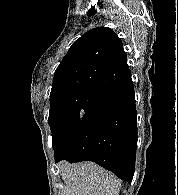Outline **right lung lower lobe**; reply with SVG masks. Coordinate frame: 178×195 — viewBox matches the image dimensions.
<instances>
[{
  "label": "right lung lower lobe",
  "mask_w": 178,
  "mask_h": 195,
  "mask_svg": "<svg viewBox=\"0 0 178 195\" xmlns=\"http://www.w3.org/2000/svg\"><path fill=\"white\" fill-rule=\"evenodd\" d=\"M137 113L131 78L99 92L54 151L55 162L93 161L131 182L135 171Z\"/></svg>",
  "instance_id": "obj_1"
}]
</instances>
